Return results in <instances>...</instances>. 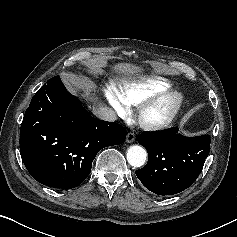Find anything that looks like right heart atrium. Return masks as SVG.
<instances>
[{
  "mask_svg": "<svg viewBox=\"0 0 237 237\" xmlns=\"http://www.w3.org/2000/svg\"><path fill=\"white\" fill-rule=\"evenodd\" d=\"M106 96L111 107L118 115L124 116L127 114L129 110V104L120 97L117 91L114 89H108L106 91Z\"/></svg>",
  "mask_w": 237,
  "mask_h": 237,
  "instance_id": "obj_1",
  "label": "right heart atrium"
}]
</instances>
